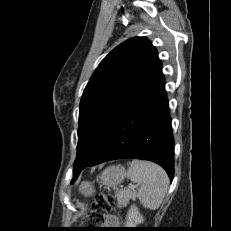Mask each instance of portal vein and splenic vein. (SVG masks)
Wrapping results in <instances>:
<instances>
[{"label":"portal vein and splenic vein","instance_id":"obj_1","mask_svg":"<svg viewBox=\"0 0 231 231\" xmlns=\"http://www.w3.org/2000/svg\"><path fill=\"white\" fill-rule=\"evenodd\" d=\"M129 187H130L131 189H134V188H136V187H137V185H133V184H131Z\"/></svg>","mask_w":231,"mask_h":231}]
</instances>
